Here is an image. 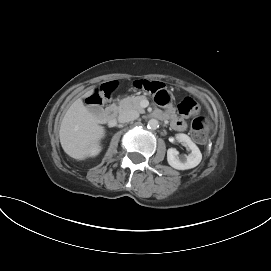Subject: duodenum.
Wrapping results in <instances>:
<instances>
[{
    "instance_id": "duodenum-1",
    "label": "duodenum",
    "mask_w": 271,
    "mask_h": 271,
    "mask_svg": "<svg viewBox=\"0 0 271 271\" xmlns=\"http://www.w3.org/2000/svg\"><path fill=\"white\" fill-rule=\"evenodd\" d=\"M117 109L113 106L108 107L104 113V119L108 124H113L116 120Z\"/></svg>"
}]
</instances>
